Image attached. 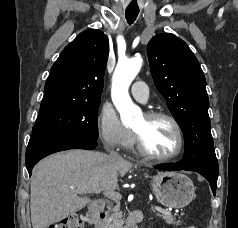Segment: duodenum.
Returning <instances> with one entry per match:
<instances>
[{
    "label": "duodenum",
    "mask_w": 238,
    "mask_h": 228,
    "mask_svg": "<svg viewBox=\"0 0 238 228\" xmlns=\"http://www.w3.org/2000/svg\"><path fill=\"white\" fill-rule=\"evenodd\" d=\"M105 214L103 212V203L95 200L90 203L87 210V220L95 228H105ZM143 219V213L135 210L128 215L122 228H137V224Z\"/></svg>",
    "instance_id": "1"
}]
</instances>
